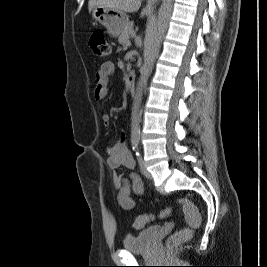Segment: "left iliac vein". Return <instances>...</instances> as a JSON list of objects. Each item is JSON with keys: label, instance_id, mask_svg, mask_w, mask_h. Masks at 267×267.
<instances>
[{"label": "left iliac vein", "instance_id": "left-iliac-vein-1", "mask_svg": "<svg viewBox=\"0 0 267 267\" xmlns=\"http://www.w3.org/2000/svg\"><path fill=\"white\" fill-rule=\"evenodd\" d=\"M139 165H140V170H141L142 174H143L145 177L151 179V178H152V175H151V173L147 170V168H146V166H145V164H144V161H143L142 157H139Z\"/></svg>", "mask_w": 267, "mask_h": 267}]
</instances>
